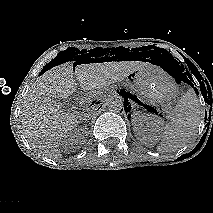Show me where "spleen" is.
I'll return each instance as SVG.
<instances>
[{
    "label": "spleen",
    "instance_id": "1",
    "mask_svg": "<svg viewBox=\"0 0 213 213\" xmlns=\"http://www.w3.org/2000/svg\"><path fill=\"white\" fill-rule=\"evenodd\" d=\"M174 116L164 127L163 137L157 147L159 152L177 150L197 133L202 120V109L197 94L189 89L178 101Z\"/></svg>",
    "mask_w": 213,
    "mask_h": 213
}]
</instances>
